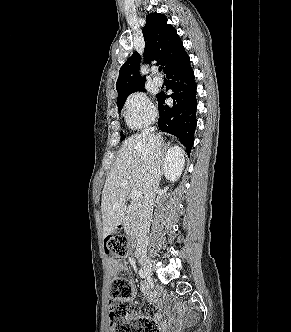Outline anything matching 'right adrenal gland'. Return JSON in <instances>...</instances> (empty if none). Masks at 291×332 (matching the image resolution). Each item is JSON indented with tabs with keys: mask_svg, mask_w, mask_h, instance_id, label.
Returning <instances> with one entry per match:
<instances>
[{
	"mask_svg": "<svg viewBox=\"0 0 291 332\" xmlns=\"http://www.w3.org/2000/svg\"><path fill=\"white\" fill-rule=\"evenodd\" d=\"M167 148H168V144H163L162 145V152H161L162 161H164V153L167 150Z\"/></svg>",
	"mask_w": 291,
	"mask_h": 332,
	"instance_id": "1",
	"label": "right adrenal gland"
}]
</instances>
